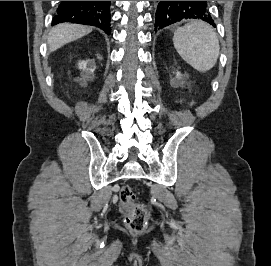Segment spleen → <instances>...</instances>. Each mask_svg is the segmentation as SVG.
<instances>
[{"instance_id":"spleen-1","label":"spleen","mask_w":271,"mask_h":266,"mask_svg":"<svg viewBox=\"0 0 271 266\" xmlns=\"http://www.w3.org/2000/svg\"><path fill=\"white\" fill-rule=\"evenodd\" d=\"M173 44L181 58L199 72L212 69L220 53L215 30L201 21L178 28L174 33Z\"/></svg>"}]
</instances>
